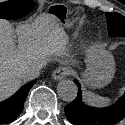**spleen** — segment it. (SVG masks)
Segmentation results:
<instances>
[{
  "instance_id": "spleen-1",
  "label": "spleen",
  "mask_w": 125,
  "mask_h": 125,
  "mask_svg": "<svg viewBox=\"0 0 125 125\" xmlns=\"http://www.w3.org/2000/svg\"><path fill=\"white\" fill-rule=\"evenodd\" d=\"M84 100L87 101L89 104H92L95 106H104L110 102L108 98L101 97L90 91H87L84 93Z\"/></svg>"
}]
</instances>
